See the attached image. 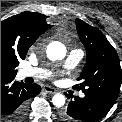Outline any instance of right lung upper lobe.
Here are the masks:
<instances>
[{
  "instance_id": "right-lung-upper-lobe-1",
  "label": "right lung upper lobe",
  "mask_w": 122,
  "mask_h": 122,
  "mask_svg": "<svg viewBox=\"0 0 122 122\" xmlns=\"http://www.w3.org/2000/svg\"><path fill=\"white\" fill-rule=\"evenodd\" d=\"M47 16L37 12H22L1 22V56L24 59L29 47L51 25Z\"/></svg>"
}]
</instances>
